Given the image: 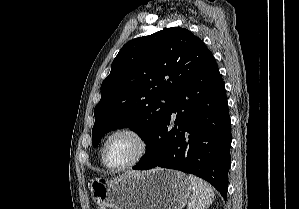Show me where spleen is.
Here are the masks:
<instances>
[{"instance_id":"obj_1","label":"spleen","mask_w":299,"mask_h":209,"mask_svg":"<svg viewBox=\"0 0 299 209\" xmlns=\"http://www.w3.org/2000/svg\"><path fill=\"white\" fill-rule=\"evenodd\" d=\"M192 188V196L188 202V209H207L214 199L212 187L192 174L188 176Z\"/></svg>"}]
</instances>
